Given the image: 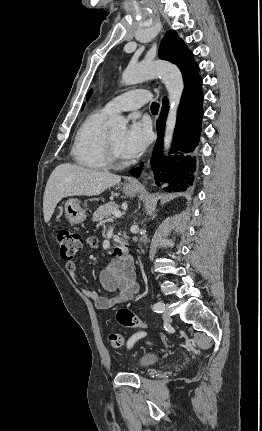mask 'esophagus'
<instances>
[{"instance_id": "34e87169", "label": "esophagus", "mask_w": 262, "mask_h": 431, "mask_svg": "<svg viewBox=\"0 0 262 431\" xmlns=\"http://www.w3.org/2000/svg\"><path fill=\"white\" fill-rule=\"evenodd\" d=\"M130 185H134V186H140V184L137 181H130L129 182Z\"/></svg>"}]
</instances>
